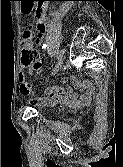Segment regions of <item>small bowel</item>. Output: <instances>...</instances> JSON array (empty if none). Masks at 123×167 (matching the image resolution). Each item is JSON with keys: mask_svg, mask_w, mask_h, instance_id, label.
Here are the masks:
<instances>
[{"mask_svg": "<svg viewBox=\"0 0 123 167\" xmlns=\"http://www.w3.org/2000/svg\"><path fill=\"white\" fill-rule=\"evenodd\" d=\"M33 1H22L21 13L22 17H29V13H33ZM43 33L40 35L38 43L42 41ZM31 71L40 73L42 71V65L37 68H32ZM20 80V92L23 96L30 94V85L25 80V73L23 70L19 74ZM70 80L73 83V87L64 88L59 84H51L44 90L45 97H42L38 102L45 106H53L57 103L67 104L71 107H84L89 105L95 98V87L88 81H81L77 77L72 76Z\"/></svg>", "mask_w": 123, "mask_h": 167, "instance_id": "small-bowel-1", "label": "small bowel"}]
</instances>
